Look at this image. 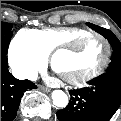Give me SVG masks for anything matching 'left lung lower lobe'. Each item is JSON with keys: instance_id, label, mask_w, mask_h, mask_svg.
Wrapping results in <instances>:
<instances>
[{"instance_id": "left-lung-lower-lobe-1", "label": "left lung lower lobe", "mask_w": 121, "mask_h": 121, "mask_svg": "<svg viewBox=\"0 0 121 121\" xmlns=\"http://www.w3.org/2000/svg\"><path fill=\"white\" fill-rule=\"evenodd\" d=\"M69 93V104L56 113L60 121H109L121 104V75L105 73Z\"/></svg>"}]
</instances>
